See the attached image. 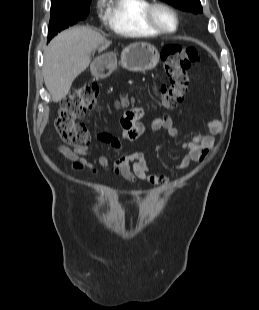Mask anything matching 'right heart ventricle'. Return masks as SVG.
<instances>
[{"label":"right heart ventricle","instance_id":"e07e8e85","mask_svg":"<svg viewBox=\"0 0 259 310\" xmlns=\"http://www.w3.org/2000/svg\"><path fill=\"white\" fill-rule=\"evenodd\" d=\"M150 0H109L106 25L115 33L134 38H149L161 35L150 28L144 13Z\"/></svg>","mask_w":259,"mask_h":310}]
</instances>
